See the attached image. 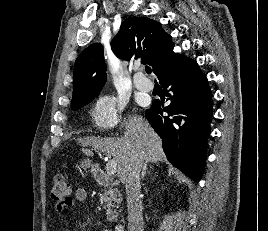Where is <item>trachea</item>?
<instances>
[{
  "label": "trachea",
  "mask_w": 268,
  "mask_h": 231,
  "mask_svg": "<svg viewBox=\"0 0 268 231\" xmlns=\"http://www.w3.org/2000/svg\"><path fill=\"white\" fill-rule=\"evenodd\" d=\"M145 70H146L147 74H151V68L150 67L146 66Z\"/></svg>",
  "instance_id": "trachea-1"
}]
</instances>
